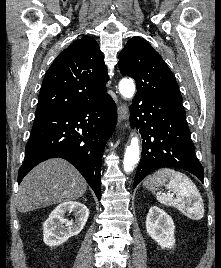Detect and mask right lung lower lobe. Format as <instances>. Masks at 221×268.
<instances>
[{"label":"right lung lower lobe","instance_id":"1","mask_svg":"<svg viewBox=\"0 0 221 268\" xmlns=\"http://www.w3.org/2000/svg\"><path fill=\"white\" fill-rule=\"evenodd\" d=\"M116 123V105L108 94L92 104L36 116L18 183L40 162L60 157L79 170L100 199L102 154Z\"/></svg>","mask_w":221,"mask_h":268}]
</instances>
